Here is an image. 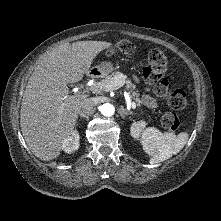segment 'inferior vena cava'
Instances as JSON below:
<instances>
[{"mask_svg": "<svg viewBox=\"0 0 221 221\" xmlns=\"http://www.w3.org/2000/svg\"><path fill=\"white\" fill-rule=\"evenodd\" d=\"M96 102L93 98H86L82 101L79 107V115L81 117H88L95 111Z\"/></svg>", "mask_w": 221, "mask_h": 221, "instance_id": "obj_1", "label": "inferior vena cava"}]
</instances>
